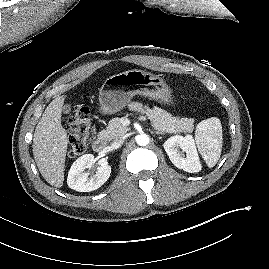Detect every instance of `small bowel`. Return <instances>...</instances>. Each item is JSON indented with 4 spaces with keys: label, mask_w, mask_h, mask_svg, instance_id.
I'll return each instance as SVG.
<instances>
[{
    "label": "small bowel",
    "mask_w": 269,
    "mask_h": 269,
    "mask_svg": "<svg viewBox=\"0 0 269 269\" xmlns=\"http://www.w3.org/2000/svg\"><path fill=\"white\" fill-rule=\"evenodd\" d=\"M132 107H133L134 109H140L141 105H140L139 103H134V104L132 105Z\"/></svg>",
    "instance_id": "c3829d8e"
}]
</instances>
